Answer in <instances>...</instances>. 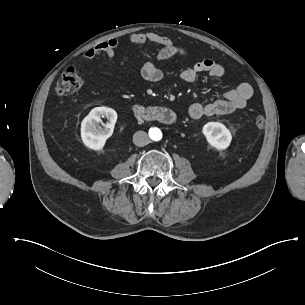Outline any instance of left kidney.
<instances>
[{"label": "left kidney", "mask_w": 305, "mask_h": 305, "mask_svg": "<svg viewBox=\"0 0 305 305\" xmlns=\"http://www.w3.org/2000/svg\"><path fill=\"white\" fill-rule=\"evenodd\" d=\"M202 133L208 145L218 152L227 150L231 145L232 133L220 122H207L202 128Z\"/></svg>", "instance_id": "5707ae66"}]
</instances>
